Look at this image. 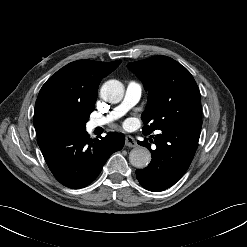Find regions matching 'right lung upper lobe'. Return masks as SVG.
Wrapping results in <instances>:
<instances>
[{
  "instance_id": "1",
  "label": "right lung upper lobe",
  "mask_w": 247,
  "mask_h": 247,
  "mask_svg": "<svg viewBox=\"0 0 247 247\" xmlns=\"http://www.w3.org/2000/svg\"><path fill=\"white\" fill-rule=\"evenodd\" d=\"M121 63L78 60L61 68L42 86L35 103L33 124L36 133L42 114L55 107L92 112L102 78Z\"/></svg>"
}]
</instances>
